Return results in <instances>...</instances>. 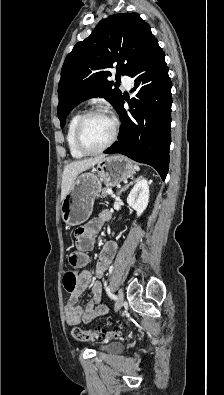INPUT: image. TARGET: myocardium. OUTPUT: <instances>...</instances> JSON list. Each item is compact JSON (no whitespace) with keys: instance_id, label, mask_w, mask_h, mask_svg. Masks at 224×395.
Instances as JSON below:
<instances>
[{"instance_id":"myocardium-1","label":"myocardium","mask_w":224,"mask_h":395,"mask_svg":"<svg viewBox=\"0 0 224 395\" xmlns=\"http://www.w3.org/2000/svg\"><path fill=\"white\" fill-rule=\"evenodd\" d=\"M94 115H104V116L108 117L112 121L113 130H112L111 137L102 147H100L98 149H89L83 143L82 129H83V126H84V123L86 122V120L89 117L94 116ZM118 133H119V121L111 112H109L108 110H106L104 108H99V107L91 108L81 115V117L79 118V120L76 124L75 144H76L77 148L85 155L99 154V153L107 150L110 146H112L114 144V142L116 141V139L118 137Z\"/></svg>"}]
</instances>
